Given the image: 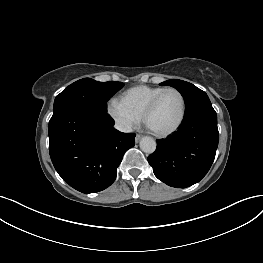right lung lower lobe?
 I'll return each instance as SVG.
<instances>
[{"label":"right lung lower lobe","instance_id":"obj_1","mask_svg":"<svg viewBox=\"0 0 263 263\" xmlns=\"http://www.w3.org/2000/svg\"><path fill=\"white\" fill-rule=\"evenodd\" d=\"M107 112L67 107L49 122V152L61 178L82 193L109 187L124 153L135 144L134 133L113 128Z\"/></svg>","mask_w":263,"mask_h":263}]
</instances>
